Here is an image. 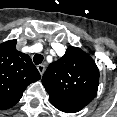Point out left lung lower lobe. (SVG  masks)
<instances>
[{"label":"left lung lower lobe","instance_id":"1","mask_svg":"<svg viewBox=\"0 0 117 117\" xmlns=\"http://www.w3.org/2000/svg\"><path fill=\"white\" fill-rule=\"evenodd\" d=\"M57 109H59L60 111H63V112H67V113H73V112H71L70 110L65 109V108L59 107V108H57Z\"/></svg>","mask_w":117,"mask_h":117}]
</instances>
